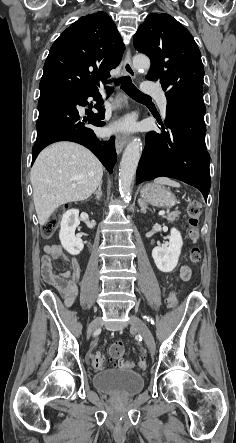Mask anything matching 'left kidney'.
Returning a JSON list of instances; mask_svg holds the SVG:
<instances>
[{
	"label": "left kidney",
	"instance_id": "obj_1",
	"mask_svg": "<svg viewBox=\"0 0 236 443\" xmlns=\"http://www.w3.org/2000/svg\"><path fill=\"white\" fill-rule=\"evenodd\" d=\"M182 245L181 233L176 228H172L168 246H157L152 250V257L160 271L168 273L175 269Z\"/></svg>",
	"mask_w": 236,
	"mask_h": 443
}]
</instances>
